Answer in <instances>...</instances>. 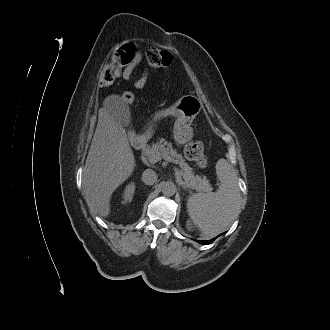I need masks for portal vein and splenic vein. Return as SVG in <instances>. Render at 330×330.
I'll use <instances>...</instances> for the list:
<instances>
[{
  "mask_svg": "<svg viewBox=\"0 0 330 330\" xmlns=\"http://www.w3.org/2000/svg\"><path fill=\"white\" fill-rule=\"evenodd\" d=\"M148 160L151 164H154V163L158 162L160 160V158L156 155L151 154L150 157L148 158ZM175 174H176L177 181H180V178H181L180 172L177 169H175Z\"/></svg>",
  "mask_w": 330,
  "mask_h": 330,
  "instance_id": "obj_1",
  "label": "portal vein and splenic vein"
}]
</instances>
